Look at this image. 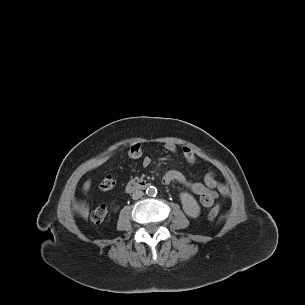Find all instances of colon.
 <instances>
[{
	"mask_svg": "<svg viewBox=\"0 0 305 305\" xmlns=\"http://www.w3.org/2000/svg\"><path fill=\"white\" fill-rule=\"evenodd\" d=\"M128 156L131 159H140L143 156L144 148L143 144L141 142H134L132 143L128 148ZM115 186V180L111 175L106 176L102 182L100 187L103 190H111ZM221 211V206L219 204H216L209 212V218L211 220L218 217L219 213ZM107 214V209L104 205H100L92 210L91 212V220L95 224H101Z\"/></svg>",
	"mask_w": 305,
	"mask_h": 305,
	"instance_id": "obj_1",
	"label": "colon"
}]
</instances>
